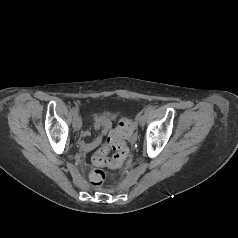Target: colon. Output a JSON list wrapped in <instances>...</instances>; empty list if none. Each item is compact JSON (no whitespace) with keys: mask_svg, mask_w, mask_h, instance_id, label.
<instances>
[{"mask_svg":"<svg viewBox=\"0 0 238 238\" xmlns=\"http://www.w3.org/2000/svg\"><path fill=\"white\" fill-rule=\"evenodd\" d=\"M135 131L134 124L127 119H122L117 127L110 133L107 145L98 151L92 158L97 167L106 166L109 170H117L128 155L125 139L132 136ZM109 148L115 151L113 157H108ZM106 179V171L97 168L90 173V181L94 186H100Z\"/></svg>","mask_w":238,"mask_h":238,"instance_id":"5ec220e1","label":"colon"}]
</instances>
